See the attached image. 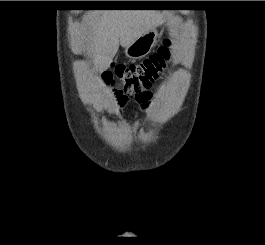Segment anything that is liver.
I'll use <instances>...</instances> for the list:
<instances>
[{"mask_svg":"<svg viewBox=\"0 0 265 245\" xmlns=\"http://www.w3.org/2000/svg\"><path fill=\"white\" fill-rule=\"evenodd\" d=\"M163 16L153 10L91 12L82 33L84 48L100 70L107 69L119 44L126 48L141 35L155 29Z\"/></svg>","mask_w":265,"mask_h":245,"instance_id":"obj_1","label":"liver"}]
</instances>
